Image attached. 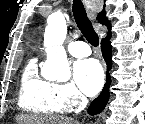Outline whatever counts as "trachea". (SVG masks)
<instances>
[{"label": "trachea", "instance_id": "obj_1", "mask_svg": "<svg viewBox=\"0 0 145 124\" xmlns=\"http://www.w3.org/2000/svg\"><path fill=\"white\" fill-rule=\"evenodd\" d=\"M72 11L76 24L83 36L92 46L97 47L99 44V37L87 16V13L81 0L73 1Z\"/></svg>", "mask_w": 145, "mask_h": 124}]
</instances>
